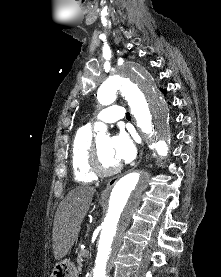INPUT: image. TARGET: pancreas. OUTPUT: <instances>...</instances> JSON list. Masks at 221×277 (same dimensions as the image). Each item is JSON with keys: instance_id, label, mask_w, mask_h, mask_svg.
<instances>
[{"instance_id": "obj_1", "label": "pancreas", "mask_w": 221, "mask_h": 277, "mask_svg": "<svg viewBox=\"0 0 221 277\" xmlns=\"http://www.w3.org/2000/svg\"><path fill=\"white\" fill-rule=\"evenodd\" d=\"M87 255H88V250L84 249L79 251L78 257H77V263H78L79 269L82 268L83 258L87 257Z\"/></svg>"}]
</instances>
